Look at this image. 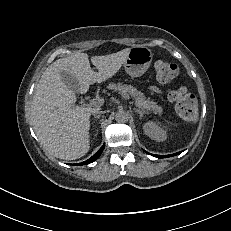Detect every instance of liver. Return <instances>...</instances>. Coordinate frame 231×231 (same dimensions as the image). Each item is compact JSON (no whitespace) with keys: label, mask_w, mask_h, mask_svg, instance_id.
I'll return each mask as SVG.
<instances>
[{"label":"liver","mask_w":231,"mask_h":231,"mask_svg":"<svg viewBox=\"0 0 231 231\" xmlns=\"http://www.w3.org/2000/svg\"><path fill=\"white\" fill-rule=\"evenodd\" d=\"M131 48L92 56L77 52L53 62L42 74L31 102V124L44 150L64 160L84 156L90 148V116L98 107L75 106V92L63 82L62 72H69L79 81L83 94L93 83H101L115 75L125 63Z\"/></svg>","instance_id":"obj_1"}]
</instances>
